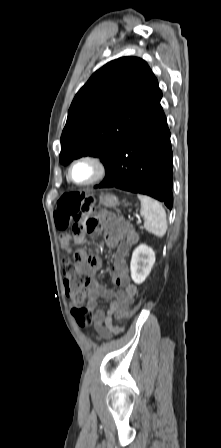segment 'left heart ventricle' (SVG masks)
Returning a JSON list of instances; mask_svg holds the SVG:
<instances>
[{"mask_svg": "<svg viewBox=\"0 0 221 448\" xmlns=\"http://www.w3.org/2000/svg\"><path fill=\"white\" fill-rule=\"evenodd\" d=\"M95 168L89 163H77L71 171V176L76 182H86L95 176Z\"/></svg>", "mask_w": 221, "mask_h": 448, "instance_id": "left-heart-ventricle-1", "label": "left heart ventricle"}]
</instances>
